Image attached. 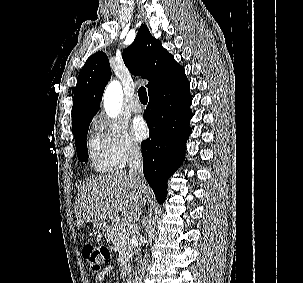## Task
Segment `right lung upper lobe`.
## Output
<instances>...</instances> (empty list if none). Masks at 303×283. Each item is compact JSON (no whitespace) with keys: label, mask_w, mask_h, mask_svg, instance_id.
<instances>
[{"label":"right lung upper lobe","mask_w":303,"mask_h":283,"mask_svg":"<svg viewBox=\"0 0 303 283\" xmlns=\"http://www.w3.org/2000/svg\"><path fill=\"white\" fill-rule=\"evenodd\" d=\"M123 60L133 75L149 81L148 93L160 90L184 74L171 54L155 39L146 25H141L134 42L124 50ZM111 78L108 58L103 52L90 56L78 75L72 107V128L92 120L103 91Z\"/></svg>","instance_id":"1"}]
</instances>
